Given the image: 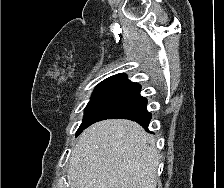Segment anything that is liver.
Listing matches in <instances>:
<instances>
[{"label":"liver","instance_id":"obj_1","mask_svg":"<svg viewBox=\"0 0 224 188\" xmlns=\"http://www.w3.org/2000/svg\"><path fill=\"white\" fill-rule=\"evenodd\" d=\"M158 164L154 139L139 124L101 121L82 133L72 151L70 188H156Z\"/></svg>","mask_w":224,"mask_h":188}]
</instances>
